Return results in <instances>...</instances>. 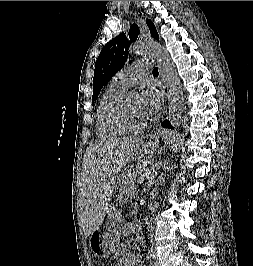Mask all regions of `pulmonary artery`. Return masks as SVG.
<instances>
[{
  "label": "pulmonary artery",
  "instance_id": "1",
  "mask_svg": "<svg viewBox=\"0 0 253 266\" xmlns=\"http://www.w3.org/2000/svg\"><path fill=\"white\" fill-rule=\"evenodd\" d=\"M150 63L148 61H135L121 70L116 80L125 87L132 86L138 79L145 75L149 70Z\"/></svg>",
  "mask_w": 253,
  "mask_h": 266
}]
</instances>
